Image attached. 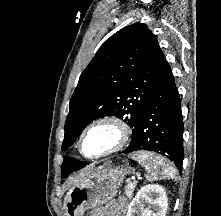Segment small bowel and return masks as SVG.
Wrapping results in <instances>:
<instances>
[{"label":"small bowel","instance_id":"c3829d8e","mask_svg":"<svg viewBox=\"0 0 221 216\" xmlns=\"http://www.w3.org/2000/svg\"><path fill=\"white\" fill-rule=\"evenodd\" d=\"M126 203L124 199H119L104 208L96 209L91 216H125Z\"/></svg>","mask_w":221,"mask_h":216}]
</instances>
